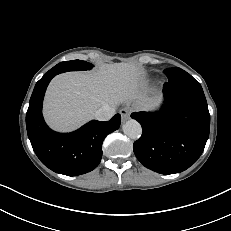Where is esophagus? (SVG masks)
Listing matches in <instances>:
<instances>
[{
	"instance_id": "obj_1",
	"label": "esophagus",
	"mask_w": 231,
	"mask_h": 231,
	"mask_svg": "<svg viewBox=\"0 0 231 231\" xmlns=\"http://www.w3.org/2000/svg\"><path fill=\"white\" fill-rule=\"evenodd\" d=\"M121 117H122V120L123 121H126L130 118V114H131V108H128V107H125V108H122L120 111H119Z\"/></svg>"
}]
</instances>
